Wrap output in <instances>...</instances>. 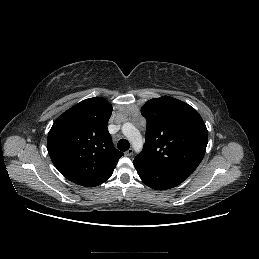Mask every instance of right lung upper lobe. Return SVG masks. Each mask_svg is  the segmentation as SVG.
<instances>
[{"label": "right lung upper lobe", "instance_id": "right-lung-upper-lobe-1", "mask_svg": "<svg viewBox=\"0 0 259 259\" xmlns=\"http://www.w3.org/2000/svg\"><path fill=\"white\" fill-rule=\"evenodd\" d=\"M112 106L101 97L85 99L53 124L47 149L55 167L70 181L85 187L105 182L123 153L112 143L108 120Z\"/></svg>", "mask_w": 259, "mask_h": 259}]
</instances>
